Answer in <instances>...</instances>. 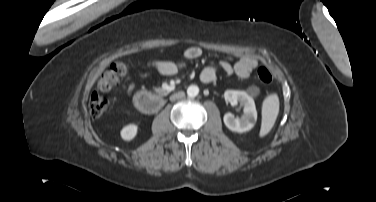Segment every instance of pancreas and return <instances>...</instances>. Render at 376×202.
<instances>
[{"label":"pancreas","instance_id":"pancreas-1","mask_svg":"<svg viewBox=\"0 0 376 202\" xmlns=\"http://www.w3.org/2000/svg\"><path fill=\"white\" fill-rule=\"evenodd\" d=\"M155 91H157V92H163L164 93V91L163 90H161V89H155Z\"/></svg>","mask_w":376,"mask_h":202}]
</instances>
